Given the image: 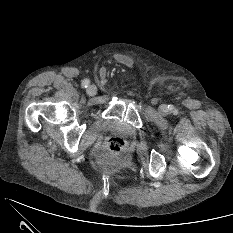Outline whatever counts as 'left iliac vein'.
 Listing matches in <instances>:
<instances>
[{"mask_svg":"<svg viewBox=\"0 0 233 233\" xmlns=\"http://www.w3.org/2000/svg\"><path fill=\"white\" fill-rule=\"evenodd\" d=\"M159 112H160L162 115L167 114V112H168V107H167V105H165V104L160 105V107H159Z\"/></svg>","mask_w":233,"mask_h":233,"instance_id":"4c4485c4","label":"left iliac vein"}]
</instances>
